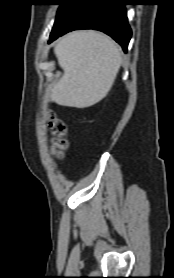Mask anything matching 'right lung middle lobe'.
I'll return each instance as SVG.
<instances>
[{
    "label": "right lung middle lobe",
    "instance_id": "dd1d6c3e",
    "mask_svg": "<svg viewBox=\"0 0 174 278\" xmlns=\"http://www.w3.org/2000/svg\"><path fill=\"white\" fill-rule=\"evenodd\" d=\"M80 0H57L58 5H60L57 17L54 23V27L59 26L63 20L66 18L71 9L79 3ZM53 27V28H54Z\"/></svg>",
    "mask_w": 174,
    "mask_h": 278
}]
</instances>
